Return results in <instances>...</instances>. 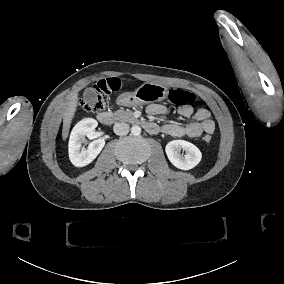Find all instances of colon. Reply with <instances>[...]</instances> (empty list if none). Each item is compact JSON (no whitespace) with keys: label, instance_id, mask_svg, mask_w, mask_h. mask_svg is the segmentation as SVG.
Segmentation results:
<instances>
[{"label":"colon","instance_id":"obj_1","mask_svg":"<svg viewBox=\"0 0 284 284\" xmlns=\"http://www.w3.org/2000/svg\"><path fill=\"white\" fill-rule=\"evenodd\" d=\"M100 88L89 91L87 95V109L90 111L103 110L107 105V97L113 92H117L121 88V82L118 78H107ZM168 102L173 107H181L189 109L194 106L196 97L193 92L186 88L177 87L168 95ZM205 141L210 140L209 135L204 136Z\"/></svg>","mask_w":284,"mask_h":284}]
</instances>
